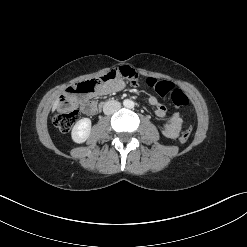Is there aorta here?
<instances>
[{
    "label": "aorta",
    "mask_w": 247,
    "mask_h": 247,
    "mask_svg": "<svg viewBox=\"0 0 247 247\" xmlns=\"http://www.w3.org/2000/svg\"><path fill=\"white\" fill-rule=\"evenodd\" d=\"M123 104L126 108H133L134 107V102L132 100H128V99L124 100Z\"/></svg>",
    "instance_id": "762f6f07"
}]
</instances>
